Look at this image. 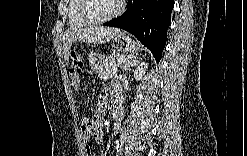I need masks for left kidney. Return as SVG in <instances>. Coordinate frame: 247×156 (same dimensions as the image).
<instances>
[{
    "label": "left kidney",
    "mask_w": 247,
    "mask_h": 156,
    "mask_svg": "<svg viewBox=\"0 0 247 156\" xmlns=\"http://www.w3.org/2000/svg\"><path fill=\"white\" fill-rule=\"evenodd\" d=\"M148 67V63L145 62H141L136 70L134 71V78L137 81H140L141 79H143V75L145 74V69Z\"/></svg>",
    "instance_id": "5707ae66"
}]
</instances>
